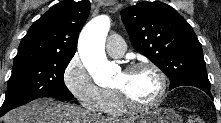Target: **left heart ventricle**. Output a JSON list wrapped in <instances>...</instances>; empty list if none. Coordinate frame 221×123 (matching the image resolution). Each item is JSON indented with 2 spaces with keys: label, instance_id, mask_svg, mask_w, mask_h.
<instances>
[{
  "label": "left heart ventricle",
  "instance_id": "obj_1",
  "mask_svg": "<svg viewBox=\"0 0 221 123\" xmlns=\"http://www.w3.org/2000/svg\"><path fill=\"white\" fill-rule=\"evenodd\" d=\"M113 88L123 89L137 103L148 104L158 96L160 83L152 70L141 69L130 74L120 72L113 83Z\"/></svg>",
  "mask_w": 221,
  "mask_h": 123
}]
</instances>
